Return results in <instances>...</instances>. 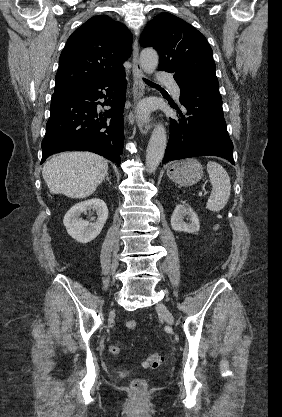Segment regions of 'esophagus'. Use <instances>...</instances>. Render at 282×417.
<instances>
[{
  "instance_id": "1",
  "label": "esophagus",
  "mask_w": 282,
  "mask_h": 417,
  "mask_svg": "<svg viewBox=\"0 0 282 417\" xmlns=\"http://www.w3.org/2000/svg\"><path fill=\"white\" fill-rule=\"evenodd\" d=\"M133 97H134V104L136 105V108L138 109V104L141 100V98L145 94V82L143 78V71L141 68V63L139 60V48H138V41L137 39L134 41L133 44ZM137 124L140 132L142 134H147L151 126L149 122L141 115L139 112H137L136 115Z\"/></svg>"
}]
</instances>
